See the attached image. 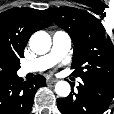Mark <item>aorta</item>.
I'll list each match as a JSON object with an SVG mask.
<instances>
[{
	"label": "aorta",
	"mask_w": 114,
	"mask_h": 114,
	"mask_svg": "<svg viewBox=\"0 0 114 114\" xmlns=\"http://www.w3.org/2000/svg\"><path fill=\"white\" fill-rule=\"evenodd\" d=\"M51 44V37L45 31L34 33L29 40L30 48L39 55L47 53L51 48ZM70 90V84L67 81H58L55 85V92L60 97H67Z\"/></svg>",
	"instance_id": "762f6f07"
}]
</instances>
